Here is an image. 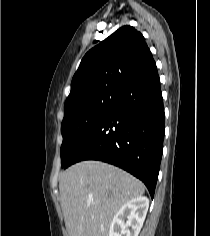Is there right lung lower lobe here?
Returning <instances> with one entry per match:
<instances>
[{
	"instance_id": "right-lung-lower-lobe-1",
	"label": "right lung lower lobe",
	"mask_w": 210,
	"mask_h": 236,
	"mask_svg": "<svg viewBox=\"0 0 210 236\" xmlns=\"http://www.w3.org/2000/svg\"><path fill=\"white\" fill-rule=\"evenodd\" d=\"M164 107L157 69L124 88L64 168L83 160L118 166L154 196L163 151Z\"/></svg>"
}]
</instances>
